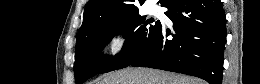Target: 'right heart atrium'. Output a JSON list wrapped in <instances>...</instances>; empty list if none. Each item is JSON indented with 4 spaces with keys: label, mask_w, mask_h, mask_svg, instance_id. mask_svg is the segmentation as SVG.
Returning <instances> with one entry per match:
<instances>
[{
    "label": "right heart atrium",
    "mask_w": 260,
    "mask_h": 84,
    "mask_svg": "<svg viewBox=\"0 0 260 84\" xmlns=\"http://www.w3.org/2000/svg\"><path fill=\"white\" fill-rule=\"evenodd\" d=\"M133 38V31L127 24L114 26L109 34V51L115 58L122 57L128 50Z\"/></svg>",
    "instance_id": "1"
}]
</instances>
